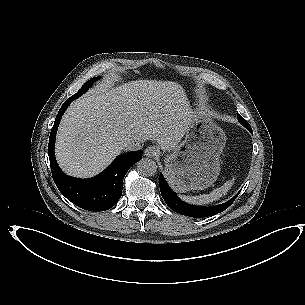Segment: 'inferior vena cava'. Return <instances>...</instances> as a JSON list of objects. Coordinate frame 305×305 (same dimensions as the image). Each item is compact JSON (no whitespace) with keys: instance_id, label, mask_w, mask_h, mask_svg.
<instances>
[{"instance_id":"inferior-vena-cava-1","label":"inferior vena cava","mask_w":305,"mask_h":305,"mask_svg":"<svg viewBox=\"0 0 305 305\" xmlns=\"http://www.w3.org/2000/svg\"><path fill=\"white\" fill-rule=\"evenodd\" d=\"M142 145H143V141L141 140L126 139L123 142L122 147L126 151H137L142 148Z\"/></svg>"}]
</instances>
